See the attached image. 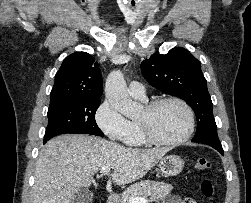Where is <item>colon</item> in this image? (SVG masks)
Instances as JSON below:
<instances>
[{
	"label": "colon",
	"instance_id": "obj_1",
	"mask_svg": "<svg viewBox=\"0 0 251 203\" xmlns=\"http://www.w3.org/2000/svg\"><path fill=\"white\" fill-rule=\"evenodd\" d=\"M196 168L199 171H208L211 168V162L204 158L200 157L196 160ZM201 193L209 199V203H214L213 196L215 192L214 184L211 180L205 179L201 182Z\"/></svg>",
	"mask_w": 251,
	"mask_h": 203
}]
</instances>
